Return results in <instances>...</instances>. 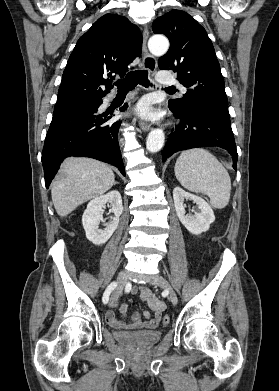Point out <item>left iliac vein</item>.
Instances as JSON below:
<instances>
[{
    "label": "left iliac vein",
    "instance_id": "obj_1",
    "mask_svg": "<svg viewBox=\"0 0 279 391\" xmlns=\"http://www.w3.org/2000/svg\"><path fill=\"white\" fill-rule=\"evenodd\" d=\"M152 284L157 285L159 287L165 288L168 290V298L173 305H176L178 302V297L176 292L170 286L169 282L162 276H157L153 279Z\"/></svg>",
    "mask_w": 279,
    "mask_h": 391
}]
</instances>
